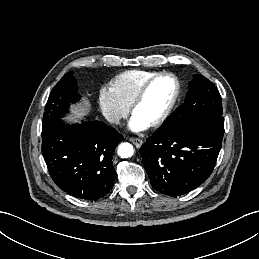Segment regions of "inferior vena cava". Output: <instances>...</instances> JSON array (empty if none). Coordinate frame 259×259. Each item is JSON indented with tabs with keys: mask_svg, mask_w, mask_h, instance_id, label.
<instances>
[{
	"mask_svg": "<svg viewBox=\"0 0 259 259\" xmlns=\"http://www.w3.org/2000/svg\"><path fill=\"white\" fill-rule=\"evenodd\" d=\"M109 122L119 124L120 123V117L119 116H112L109 119Z\"/></svg>",
	"mask_w": 259,
	"mask_h": 259,
	"instance_id": "inferior-vena-cava-1",
	"label": "inferior vena cava"
}]
</instances>
